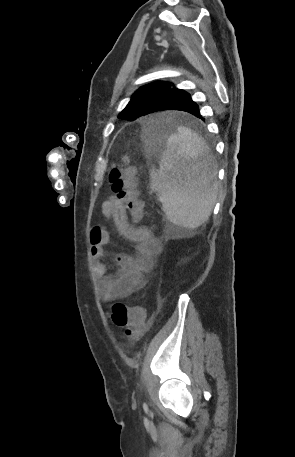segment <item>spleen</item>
<instances>
[{
  "mask_svg": "<svg viewBox=\"0 0 295 457\" xmlns=\"http://www.w3.org/2000/svg\"><path fill=\"white\" fill-rule=\"evenodd\" d=\"M205 151L197 133L180 127L167 140L159 170H150V189L158 193L167 219L190 230L209 219L218 193Z\"/></svg>",
  "mask_w": 295,
  "mask_h": 457,
  "instance_id": "obj_1",
  "label": "spleen"
}]
</instances>
